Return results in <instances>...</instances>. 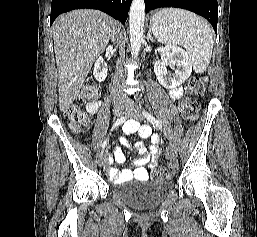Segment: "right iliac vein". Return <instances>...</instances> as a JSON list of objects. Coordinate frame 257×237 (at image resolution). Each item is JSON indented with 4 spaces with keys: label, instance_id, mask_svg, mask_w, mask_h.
<instances>
[{
    "label": "right iliac vein",
    "instance_id": "obj_1",
    "mask_svg": "<svg viewBox=\"0 0 257 237\" xmlns=\"http://www.w3.org/2000/svg\"><path fill=\"white\" fill-rule=\"evenodd\" d=\"M124 113V107H116L114 109V115L116 117H120L122 116V114ZM107 161V155L105 151H102L100 156H99V165L103 166Z\"/></svg>",
    "mask_w": 257,
    "mask_h": 237
}]
</instances>
